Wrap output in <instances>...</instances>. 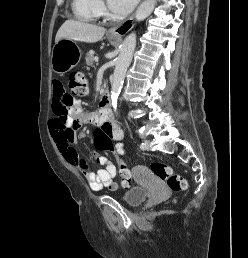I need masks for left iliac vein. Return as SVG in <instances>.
I'll return each instance as SVG.
<instances>
[{
	"instance_id": "1",
	"label": "left iliac vein",
	"mask_w": 248,
	"mask_h": 258,
	"mask_svg": "<svg viewBox=\"0 0 248 258\" xmlns=\"http://www.w3.org/2000/svg\"><path fill=\"white\" fill-rule=\"evenodd\" d=\"M144 144H145V150H149V148H150V141L149 140H145L144 141Z\"/></svg>"
}]
</instances>
